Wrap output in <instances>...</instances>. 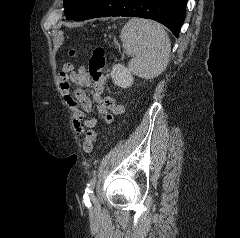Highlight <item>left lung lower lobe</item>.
I'll list each match as a JSON object with an SVG mask.
<instances>
[{
    "instance_id": "0a47b994",
    "label": "left lung lower lobe",
    "mask_w": 240,
    "mask_h": 238,
    "mask_svg": "<svg viewBox=\"0 0 240 238\" xmlns=\"http://www.w3.org/2000/svg\"><path fill=\"white\" fill-rule=\"evenodd\" d=\"M186 3L187 0H91L73 20L109 16L141 17L164 24L178 37L185 20Z\"/></svg>"
}]
</instances>
